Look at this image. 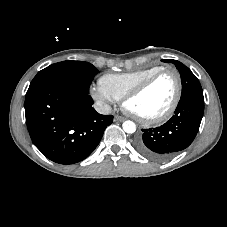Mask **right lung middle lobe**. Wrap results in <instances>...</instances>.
Segmentation results:
<instances>
[{"instance_id": "right-lung-middle-lobe-1", "label": "right lung middle lobe", "mask_w": 227, "mask_h": 227, "mask_svg": "<svg viewBox=\"0 0 227 227\" xmlns=\"http://www.w3.org/2000/svg\"><path fill=\"white\" fill-rule=\"evenodd\" d=\"M98 72V69L92 64L84 61L55 63L38 72L28 90L47 83H61L88 92L89 86Z\"/></svg>"}]
</instances>
